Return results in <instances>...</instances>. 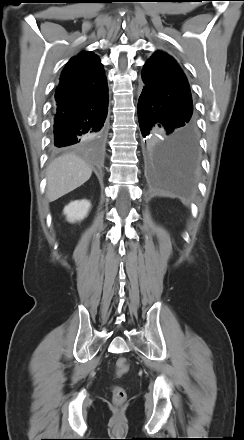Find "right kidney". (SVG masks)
Wrapping results in <instances>:
<instances>
[{"mask_svg": "<svg viewBox=\"0 0 244 440\" xmlns=\"http://www.w3.org/2000/svg\"><path fill=\"white\" fill-rule=\"evenodd\" d=\"M91 208V203L86 200H75L64 207L63 213L66 215L67 221L75 223L83 220Z\"/></svg>", "mask_w": 244, "mask_h": 440, "instance_id": "obj_1", "label": "right kidney"}]
</instances>
